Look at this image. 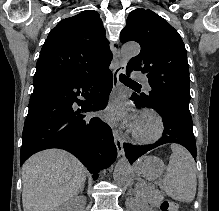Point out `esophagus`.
<instances>
[{
  "label": "esophagus",
  "instance_id": "esophagus-1",
  "mask_svg": "<svg viewBox=\"0 0 219 211\" xmlns=\"http://www.w3.org/2000/svg\"><path fill=\"white\" fill-rule=\"evenodd\" d=\"M126 65H127L126 60H120L119 65L113 70L112 99L116 96L117 88L120 85L119 76L120 74L125 73ZM113 136H114V142L117 148L118 156H121L124 154V149H123L124 138L122 137L120 130L117 128L113 129Z\"/></svg>",
  "mask_w": 219,
  "mask_h": 211
}]
</instances>
